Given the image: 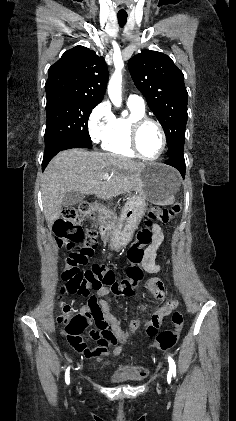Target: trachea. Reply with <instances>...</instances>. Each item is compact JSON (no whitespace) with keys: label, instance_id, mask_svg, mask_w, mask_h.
I'll use <instances>...</instances> for the list:
<instances>
[{"label":"trachea","instance_id":"obj_1","mask_svg":"<svg viewBox=\"0 0 236 421\" xmlns=\"http://www.w3.org/2000/svg\"><path fill=\"white\" fill-rule=\"evenodd\" d=\"M117 19H118V23H119L120 27H124V25L126 24V21H127V15H118Z\"/></svg>","mask_w":236,"mask_h":421}]
</instances>
